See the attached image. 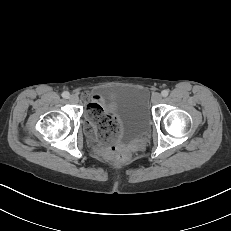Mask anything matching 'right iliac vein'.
<instances>
[{
	"mask_svg": "<svg viewBox=\"0 0 231 231\" xmlns=\"http://www.w3.org/2000/svg\"><path fill=\"white\" fill-rule=\"evenodd\" d=\"M69 101H70V103L76 104V103H78L79 98H78L77 95H71V96L69 97Z\"/></svg>",
	"mask_w": 231,
	"mask_h": 231,
	"instance_id": "right-iliac-vein-1",
	"label": "right iliac vein"
}]
</instances>
